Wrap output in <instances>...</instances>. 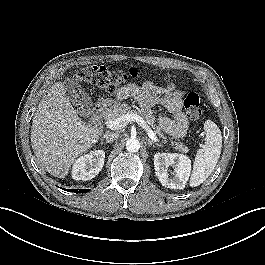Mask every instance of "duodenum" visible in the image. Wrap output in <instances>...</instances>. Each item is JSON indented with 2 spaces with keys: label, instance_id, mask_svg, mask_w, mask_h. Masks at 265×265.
<instances>
[{
  "label": "duodenum",
  "instance_id": "410a0bca",
  "mask_svg": "<svg viewBox=\"0 0 265 265\" xmlns=\"http://www.w3.org/2000/svg\"><path fill=\"white\" fill-rule=\"evenodd\" d=\"M108 109V103H100L96 105L91 113L90 120L93 124H98Z\"/></svg>",
  "mask_w": 265,
  "mask_h": 265
}]
</instances>
